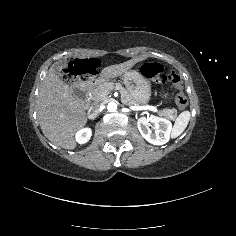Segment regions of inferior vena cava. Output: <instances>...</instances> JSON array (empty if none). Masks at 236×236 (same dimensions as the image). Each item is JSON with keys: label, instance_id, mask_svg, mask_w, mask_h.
<instances>
[{"label": "inferior vena cava", "instance_id": "602c4592", "mask_svg": "<svg viewBox=\"0 0 236 236\" xmlns=\"http://www.w3.org/2000/svg\"><path fill=\"white\" fill-rule=\"evenodd\" d=\"M101 104H95L91 107L90 109V117L92 119L96 118L97 116H99V114L101 113Z\"/></svg>", "mask_w": 236, "mask_h": 236}]
</instances>
